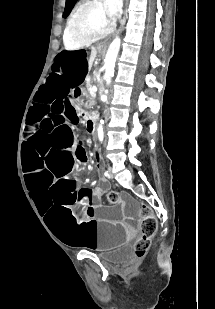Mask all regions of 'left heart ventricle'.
Here are the masks:
<instances>
[{
    "label": "left heart ventricle",
    "instance_id": "obj_1",
    "mask_svg": "<svg viewBox=\"0 0 215 309\" xmlns=\"http://www.w3.org/2000/svg\"><path fill=\"white\" fill-rule=\"evenodd\" d=\"M82 13L88 14V19L83 20V22H88V29H75L74 25L72 31H82V33L93 34V29H104L105 25H107L108 20L105 15V10H102L100 7H93L89 10H86ZM85 41V40H80Z\"/></svg>",
    "mask_w": 215,
    "mask_h": 309
}]
</instances>
